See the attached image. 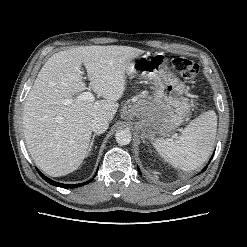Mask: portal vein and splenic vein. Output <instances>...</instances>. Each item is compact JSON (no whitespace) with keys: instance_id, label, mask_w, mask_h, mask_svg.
<instances>
[{"instance_id":"portal-vein-and-splenic-vein-1","label":"portal vein and splenic vein","mask_w":247,"mask_h":247,"mask_svg":"<svg viewBox=\"0 0 247 247\" xmlns=\"http://www.w3.org/2000/svg\"><path fill=\"white\" fill-rule=\"evenodd\" d=\"M78 100L93 102L94 101V95L89 91L83 92L82 94H80L78 96ZM71 102H72V100H69V99L66 100V104H69Z\"/></svg>"}]
</instances>
